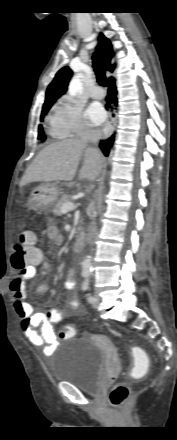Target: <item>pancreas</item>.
I'll use <instances>...</instances> for the list:
<instances>
[{
  "label": "pancreas",
  "mask_w": 177,
  "mask_h": 440,
  "mask_svg": "<svg viewBox=\"0 0 177 440\" xmlns=\"http://www.w3.org/2000/svg\"><path fill=\"white\" fill-rule=\"evenodd\" d=\"M71 197L69 195H63L59 200H57L56 204L54 205V208L52 210V212L55 215H61V207L62 205H64L65 203H69L70 202Z\"/></svg>",
  "instance_id": "pancreas-1"
}]
</instances>
